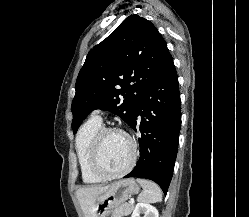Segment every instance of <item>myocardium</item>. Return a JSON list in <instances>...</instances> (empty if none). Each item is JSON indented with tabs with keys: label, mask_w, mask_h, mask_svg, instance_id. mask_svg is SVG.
I'll list each match as a JSON object with an SVG mask.
<instances>
[{
	"label": "myocardium",
	"mask_w": 249,
	"mask_h": 217,
	"mask_svg": "<svg viewBox=\"0 0 249 217\" xmlns=\"http://www.w3.org/2000/svg\"><path fill=\"white\" fill-rule=\"evenodd\" d=\"M108 133H119L123 135L129 142L131 147V158L127 166L119 172L109 173L105 171L100 164V148L104 136ZM137 160V146L133 138L124 130L117 127H101L94 136L89 155L90 168L95 175L103 180L118 179L126 175L135 165Z\"/></svg>",
	"instance_id": "obj_1"
}]
</instances>
